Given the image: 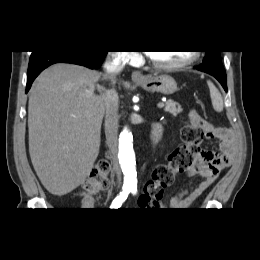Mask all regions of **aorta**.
Returning <instances> with one entry per match:
<instances>
[{
	"instance_id": "obj_1",
	"label": "aorta",
	"mask_w": 260,
	"mask_h": 260,
	"mask_svg": "<svg viewBox=\"0 0 260 260\" xmlns=\"http://www.w3.org/2000/svg\"><path fill=\"white\" fill-rule=\"evenodd\" d=\"M118 159L124 174L125 184L135 185L137 182L135 153L132 133L124 128L119 136Z\"/></svg>"
}]
</instances>
